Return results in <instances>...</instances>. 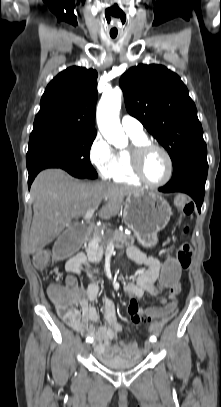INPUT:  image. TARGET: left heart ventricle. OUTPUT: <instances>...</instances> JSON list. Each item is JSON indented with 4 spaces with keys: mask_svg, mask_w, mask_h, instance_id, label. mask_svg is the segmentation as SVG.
Returning a JSON list of instances; mask_svg holds the SVG:
<instances>
[{
    "mask_svg": "<svg viewBox=\"0 0 221 407\" xmlns=\"http://www.w3.org/2000/svg\"><path fill=\"white\" fill-rule=\"evenodd\" d=\"M143 168L149 180L159 182L164 180L167 176L169 165L167 158L162 152L152 150L146 155Z\"/></svg>",
    "mask_w": 221,
    "mask_h": 407,
    "instance_id": "1",
    "label": "left heart ventricle"
}]
</instances>
